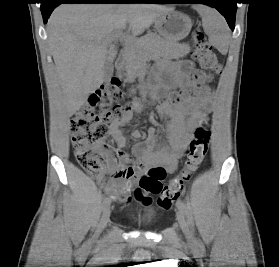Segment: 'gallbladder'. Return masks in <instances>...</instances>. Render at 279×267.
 <instances>
[{
	"label": "gallbladder",
	"instance_id": "obj_1",
	"mask_svg": "<svg viewBox=\"0 0 279 267\" xmlns=\"http://www.w3.org/2000/svg\"><path fill=\"white\" fill-rule=\"evenodd\" d=\"M114 71V65L112 60H107L104 68H103V73H104V82H108L109 79L112 77Z\"/></svg>",
	"mask_w": 279,
	"mask_h": 267
}]
</instances>
